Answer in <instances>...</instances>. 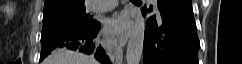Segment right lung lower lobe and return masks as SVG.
Here are the masks:
<instances>
[{
	"label": "right lung lower lobe",
	"instance_id": "right-lung-lower-lobe-1",
	"mask_svg": "<svg viewBox=\"0 0 242 64\" xmlns=\"http://www.w3.org/2000/svg\"><path fill=\"white\" fill-rule=\"evenodd\" d=\"M99 29L100 25L89 33L52 43L46 49L41 51L40 60H44V58H46L48 54L55 49L67 48L71 50H79L80 52L88 55L94 54L95 58L102 64H111V61L106 55L104 49L101 47V45H97L94 41Z\"/></svg>",
	"mask_w": 242,
	"mask_h": 64
}]
</instances>
